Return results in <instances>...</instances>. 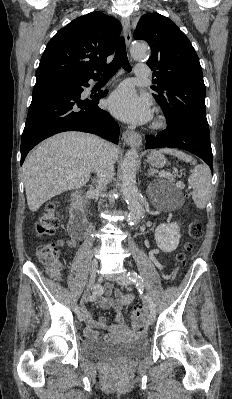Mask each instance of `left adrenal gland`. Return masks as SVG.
Returning a JSON list of instances; mask_svg holds the SVG:
<instances>
[{"label": "left adrenal gland", "instance_id": "1", "mask_svg": "<svg viewBox=\"0 0 232 399\" xmlns=\"http://www.w3.org/2000/svg\"><path fill=\"white\" fill-rule=\"evenodd\" d=\"M146 176H154V174L151 172V170H148V174H146Z\"/></svg>", "mask_w": 232, "mask_h": 399}]
</instances>
